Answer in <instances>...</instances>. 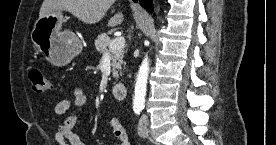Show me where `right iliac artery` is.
Returning a JSON list of instances; mask_svg holds the SVG:
<instances>
[{"instance_id":"1","label":"right iliac artery","mask_w":276,"mask_h":145,"mask_svg":"<svg viewBox=\"0 0 276 145\" xmlns=\"http://www.w3.org/2000/svg\"><path fill=\"white\" fill-rule=\"evenodd\" d=\"M141 110H142V108H139V107L134 108V112H135L136 115H139Z\"/></svg>"}]
</instances>
